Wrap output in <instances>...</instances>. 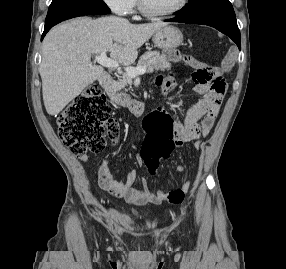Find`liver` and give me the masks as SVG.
Segmentation results:
<instances>
[{"instance_id":"obj_1","label":"liver","mask_w":286,"mask_h":269,"mask_svg":"<svg viewBox=\"0 0 286 269\" xmlns=\"http://www.w3.org/2000/svg\"><path fill=\"white\" fill-rule=\"evenodd\" d=\"M165 26V22L136 25L110 16L76 18L51 29L43 40L39 67L47 113L57 115L101 77L103 67L91 63L92 54L106 51L111 59L129 66L135 62L138 49Z\"/></svg>"}]
</instances>
